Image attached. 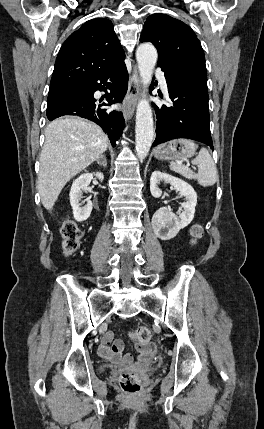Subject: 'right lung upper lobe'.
<instances>
[{"label": "right lung upper lobe", "mask_w": 264, "mask_h": 429, "mask_svg": "<svg viewBox=\"0 0 264 429\" xmlns=\"http://www.w3.org/2000/svg\"><path fill=\"white\" fill-rule=\"evenodd\" d=\"M125 57L110 20L84 23L62 45L50 88L82 84Z\"/></svg>", "instance_id": "obj_1"}]
</instances>
